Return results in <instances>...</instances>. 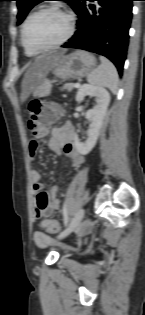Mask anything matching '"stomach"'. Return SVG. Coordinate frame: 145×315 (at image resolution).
<instances>
[{
    "instance_id": "stomach-1",
    "label": "stomach",
    "mask_w": 145,
    "mask_h": 315,
    "mask_svg": "<svg viewBox=\"0 0 145 315\" xmlns=\"http://www.w3.org/2000/svg\"><path fill=\"white\" fill-rule=\"evenodd\" d=\"M96 58L89 52L77 50L69 55H62L54 67L53 74L63 80L79 79L95 70Z\"/></svg>"
}]
</instances>
